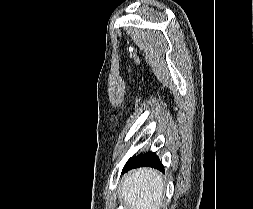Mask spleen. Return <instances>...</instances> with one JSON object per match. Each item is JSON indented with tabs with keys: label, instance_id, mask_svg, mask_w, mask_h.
I'll use <instances>...</instances> for the list:
<instances>
[{
	"label": "spleen",
	"instance_id": "spleen-1",
	"mask_svg": "<svg viewBox=\"0 0 253 209\" xmlns=\"http://www.w3.org/2000/svg\"><path fill=\"white\" fill-rule=\"evenodd\" d=\"M164 183L160 173L151 170L133 171L122 183L120 195L128 209H160Z\"/></svg>",
	"mask_w": 253,
	"mask_h": 209
}]
</instances>
